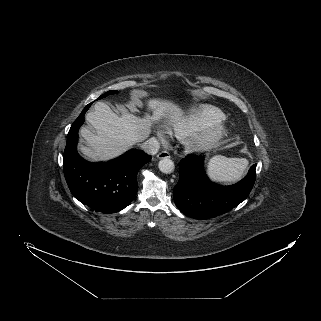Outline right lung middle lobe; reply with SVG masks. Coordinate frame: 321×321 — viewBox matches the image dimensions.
Wrapping results in <instances>:
<instances>
[{"mask_svg": "<svg viewBox=\"0 0 321 321\" xmlns=\"http://www.w3.org/2000/svg\"><path fill=\"white\" fill-rule=\"evenodd\" d=\"M117 93H118V91L111 90V91H108L105 94L101 95L98 99L104 98L109 94H117Z\"/></svg>", "mask_w": 321, "mask_h": 321, "instance_id": "right-lung-middle-lobe-1", "label": "right lung middle lobe"}]
</instances>
